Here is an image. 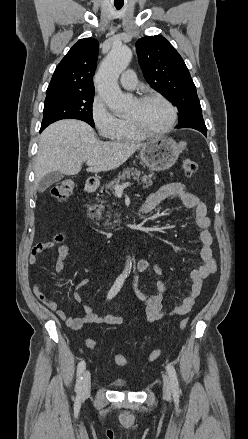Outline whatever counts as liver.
<instances>
[{"instance_id": "obj_1", "label": "liver", "mask_w": 248, "mask_h": 439, "mask_svg": "<svg viewBox=\"0 0 248 439\" xmlns=\"http://www.w3.org/2000/svg\"><path fill=\"white\" fill-rule=\"evenodd\" d=\"M144 144L135 142H103L96 138L87 123L65 119L49 125L41 134L35 162L34 188L51 172L76 175L82 164L95 160L89 172L118 168Z\"/></svg>"}]
</instances>
